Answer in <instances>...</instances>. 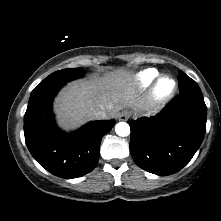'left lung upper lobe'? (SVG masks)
<instances>
[{"label":"left lung upper lobe","instance_id":"left-lung-upper-lobe-1","mask_svg":"<svg viewBox=\"0 0 221 221\" xmlns=\"http://www.w3.org/2000/svg\"><path fill=\"white\" fill-rule=\"evenodd\" d=\"M178 83H179L180 93H187V92L201 93L198 84L183 72H179L178 74Z\"/></svg>","mask_w":221,"mask_h":221}]
</instances>
